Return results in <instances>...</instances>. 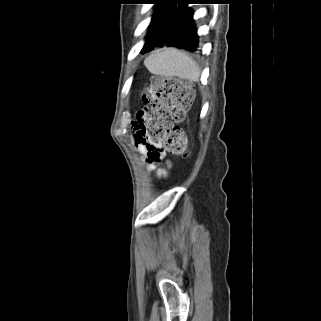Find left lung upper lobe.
Returning <instances> with one entry per match:
<instances>
[{
	"mask_svg": "<svg viewBox=\"0 0 321 321\" xmlns=\"http://www.w3.org/2000/svg\"><path fill=\"white\" fill-rule=\"evenodd\" d=\"M157 4L156 11L151 20L150 31L147 36L145 45L146 48L152 43L160 40L166 30L167 24L174 11L176 10L181 0H152Z\"/></svg>",
	"mask_w": 321,
	"mask_h": 321,
	"instance_id": "1",
	"label": "left lung upper lobe"
}]
</instances>
